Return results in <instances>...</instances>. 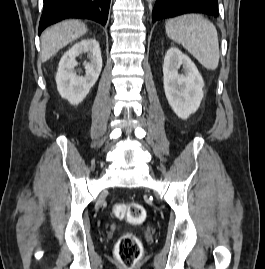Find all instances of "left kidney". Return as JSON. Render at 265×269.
Returning <instances> with one entry per match:
<instances>
[{
    "label": "left kidney",
    "instance_id": "left-kidney-1",
    "mask_svg": "<svg viewBox=\"0 0 265 269\" xmlns=\"http://www.w3.org/2000/svg\"><path fill=\"white\" fill-rule=\"evenodd\" d=\"M184 73H179L180 67ZM164 91L175 114L185 120L201 103L204 81L191 59L179 49H168L163 64Z\"/></svg>",
    "mask_w": 265,
    "mask_h": 269
}]
</instances>
